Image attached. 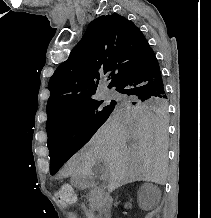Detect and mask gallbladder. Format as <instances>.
Masks as SVG:
<instances>
[{
	"mask_svg": "<svg viewBox=\"0 0 211 218\" xmlns=\"http://www.w3.org/2000/svg\"><path fill=\"white\" fill-rule=\"evenodd\" d=\"M91 170H92L93 175H102L103 171L106 170V167L105 166H92Z\"/></svg>",
	"mask_w": 211,
	"mask_h": 218,
	"instance_id": "bac80fb5",
	"label": "gallbladder"
}]
</instances>
